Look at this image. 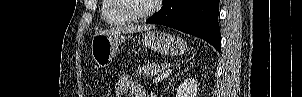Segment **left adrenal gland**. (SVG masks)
<instances>
[{
  "instance_id": "obj_1",
  "label": "left adrenal gland",
  "mask_w": 302,
  "mask_h": 97,
  "mask_svg": "<svg viewBox=\"0 0 302 97\" xmlns=\"http://www.w3.org/2000/svg\"><path fill=\"white\" fill-rule=\"evenodd\" d=\"M191 59H193V57H190L189 59H187V61H190ZM182 73H183V72H182ZM182 73H181V74H182ZM179 75H180V73H178L177 75H175V77H177V76H179ZM175 77H172V79H170V82H169V84H168V86H167V89L169 88L171 82L175 79Z\"/></svg>"
}]
</instances>
